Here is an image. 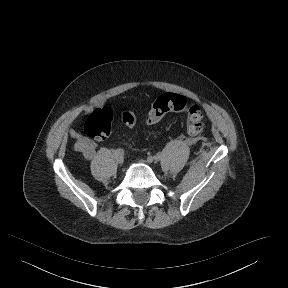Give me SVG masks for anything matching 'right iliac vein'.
Segmentation results:
<instances>
[{
	"label": "right iliac vein",
	"instance_id": "obj_1",
	"mask_svg": "<svg viewBox=\"0 0 288 288\" xmlns=\"http://www.w3.org/2000/svg\"><path fill=\"white\" fill-rule=\"evenodd\" d=\"M116 159V162L118 163V164H123V160L122 159H119V158H115Z\"/></svg>",
	"mask_w": 288,
	"mask_h": 288
}]
</instances>
